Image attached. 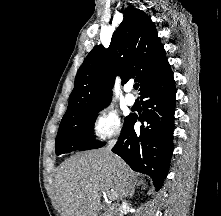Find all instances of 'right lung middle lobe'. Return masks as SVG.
<instances>
[{"mask_svg":"<svg viewBox=\"0 0 221 216\" xmlns=\"http://www.w3.org/2000/svg\"><path fill=\"white\" fill-rule=\"evenodd\" d=\"M105 106L89 109L80 114L63 118L55 141L56 154L69 153L74 150H91L104 146L105 142L95 140L91 133L94 131V122L98 112Z\"/></svg>","mask_w":221,"mask_h":216,"instance_id":"1","label":"right lung middle lobe"}]
</instances>
